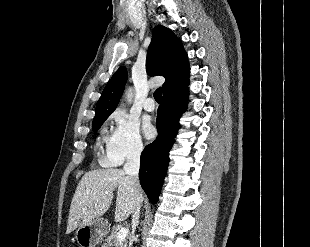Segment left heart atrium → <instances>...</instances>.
I'll return each mask as SVG.
<instances>
[{
	"label": "left heart atrium",
	"instance_id": "obj_1",
	"mask_svg": "<svg viewBox=\"0 0 310 247\" xmlns=\"http://www.w3.org/2000/svg\"><path fill=\"white\" fill-rule=\"evenodd\" d=\"M144 133L147 138H152L154 136L155 130L151 124H146L144 126Z\"/></svg>",
	"mask_w": 310,
	"mask_h": 247
}]
</instances>
